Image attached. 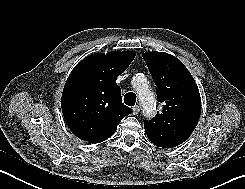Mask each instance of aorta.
I'll list each match as a JSON object with an SVG mask.
<instances>
[{
	"label": "aorta",
	"mask_w": 245,
	"mask_h": 189,
	"mask_svg": "<svg viewBox=\"0 0 245 189\" xmlns=\"http://www.w3.org/2000/svg\"><path fill=\"white\" fill-rule=\"evenodd\" d=\"M133 84L138 92L144 114L147 117H153L155 113V98L153 92L147 85V79L142 74L136 75Z\"/></svg>",
	"instance_id": "aorta-1"
}]
</instances>
